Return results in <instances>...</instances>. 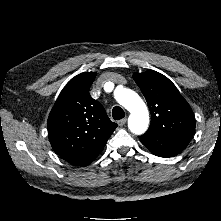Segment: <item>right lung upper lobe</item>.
<instances>
[{
  "instance_id": "obj_1",
  "label": "right lung upper lobe",
  "mask_w": 221,
  "mask_h": 221,
  "mask_svg": "<svg viewBox=\"0 0 221 221\" xmlns=\"http://www.w3.org/2000/svg\"><path fill=\"white\" fill-rule=\"evenodd\" d=\"M95 77V72H87L72 78L61 91L47 121L52 148L73 165L90 164L117 127L89 94Z\"/></svg>"
}]
</instances>
